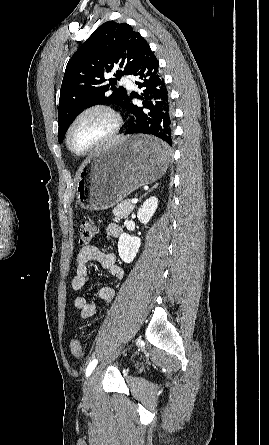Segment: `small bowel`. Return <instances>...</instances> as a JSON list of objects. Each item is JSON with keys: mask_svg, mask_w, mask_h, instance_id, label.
Wrapping results in <instances>:
<instances>
[{"mask_svg": "<svg viewBox=\"0 0 269 445\" xmlns=\"http://www.w3.org/2000/svg\"><path fill=\"white\" fill-rule=\"evenodd\" d=\"M105 233L110 238H118L122 234V229L117 223H109L105 228ZM90 262H97L102 268L107 270L117 279L123 277V270L117 264L116 256L109 251H102L95 246H86L80 249L75 260V274L71 281L74 291H80L86 284L88 278V266ZM115 295V291L110 286H103L97 292V297L105 303H110ZM74 306L80 312L82 319H89L96 315V304L87 300L84 296H77L74 299Z\"/></svg>", "mask_w": 269, "mask_h": 445, "instance_id": "small-bowel-1", "label": "small bowel"}]
</instances>
